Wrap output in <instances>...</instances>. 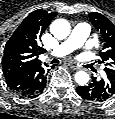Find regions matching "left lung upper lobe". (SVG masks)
I'll list each match as a JSON object with an SVG mask.
<instances>
[{
    "label": "left lung upper lobe",
    "mask_w": 115,
    "mask_h": 119,
    "mask_svg": "<svg viewBox=\"0 0 115 119\" xmlns=\"http://www.w3.org/2000/svg\"><path fill=\"white\" fill-rule=\"evenodd\" d=\"M89 17L103 42V51L100 55L106 63L104 70L106 74L115 77V25L104 15L97 12L90 13Z\"/></svg>",
    "instance_id": "1"
}]
</instances>
